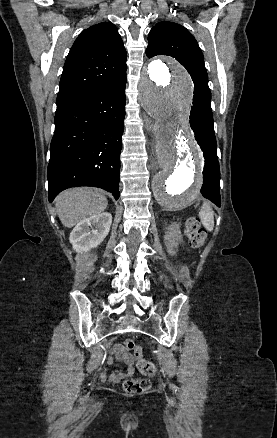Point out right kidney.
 <instances>
[{
    "instance_id": "ca27d5eb",
    "label": "right kidney",
    "mask_w": 277,
    "mask_h": 438,
    "mask_svg": "<svg viewBox=\"0 0 277 438\" xmlns=\"http://www.w3.org/2000/svg\"><path fill=\"white\" fill-rule=\"evenodd\" d=\"M112 224V214L102 212L97 216H89L81 220L69 238L75 252H89L91 248H97L109 234Z\"/></svg>"
}]
</instances>
